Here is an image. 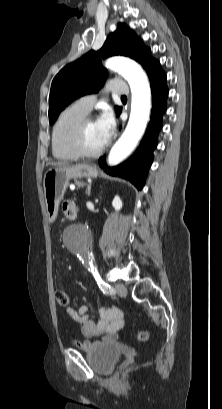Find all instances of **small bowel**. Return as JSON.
I'll use <instances>...</instances> for the list:
<instances>
[{
    "instance_id": "small-bowel-1",
    "label": "small bowel",
    "mask_w": 222,
    "mask_h": 409,
    "mask_svg": "<svg viewBox=\"0 0 222 409\" xmlns=\"http://www.w3.org/2000/svg\"><path fill=\"white\" fill-rule=\"evenodd\" d=\"M73 211H76L73 202L68 201L63 205V212L66 217L69 218ZM90 309L89 305H83L78 310L67 309V313L80 326L81 333L85 338L83 342L76 344L81 350H88L105 342L116 341L119 331L125 326L124 313L116 306H103L98 315L91 314ZM95 319H98L96 323L93 322ZM96 337L99 339L94 340Z\"/></svg>"
}]
</instances>
